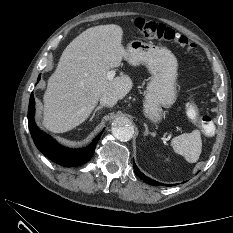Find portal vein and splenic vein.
<instances>
[{
  "mask_svg": "<svg viewBox=\"0 0 233 233\" xmlns=\"http://www.w3.org/2000/svg\"><path fill=\"white\" fill-rule=\"evenodd\" d=\"M115 75H116V71H114V70L108 71L107 72V79L112 80L115 77Z\"/></svg>",
  "mask_w": 233,
  "mask_h": 233,
  "instance_id": "18ae733b",
  "label": "portal vein and splenic vein"
}]
</instances>
